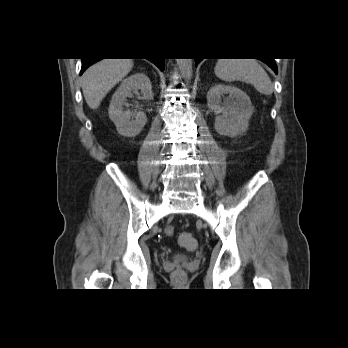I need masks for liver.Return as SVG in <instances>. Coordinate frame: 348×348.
I'll return each instance as SVG.
<instances>
[{
    "label": "liver",
    "instance_id": "liver-1",
    "mask_svg": "<svg viewBox=\"0 0 348 348\" xmlns=\"http://www.w3.org/2000/svg\"><path fill=\"white\" fill-rule=\"evenodd\" d=\"M132 59H102L82 76V91L91 109L99 107L106 94L132 69Z\"/></svg>",
    "mask_w": 348,
    "mask_h": 348
}]
</instances>
